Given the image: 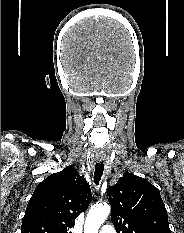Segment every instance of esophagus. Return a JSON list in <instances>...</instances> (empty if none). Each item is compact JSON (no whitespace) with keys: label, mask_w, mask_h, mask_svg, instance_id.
Masks as SVG:
<instances>
[{"label":"esophagus","mask_w":184,"mask_h":233,"mask_svg":"<svg viewBox=\"0 0 184 233\" xmlns=\"http://www.w3.org/2000/svg\"><path fill=\"white\" fill-rule=\"evenodd\" d=\"M103 160L102 157H97V161L101 162Z\"/></svg>","instance_id":"obj_1"}]
</instances>
